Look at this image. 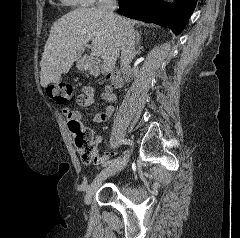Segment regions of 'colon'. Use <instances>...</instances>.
Masks as SVG:
<instances>
[{
    "instance_id": "obj_1",
    "label": "colon",
    "mask_w": 240,
    "mask_h": 238,
    "mask_svg": "<svg viewBox=\"0 0 240 238\" xmlns=\"http://www.w3.org/2000/svg\"><path fill=\"white\" fill-rule=\"evenodd\" d=\"M111 86H117L121 83V78L112 74L109 76ZM73 93V88L67 83L52 84L47 87L48 96L58 104L66 103ZM68 126L74 136L75 144L79 149L82 157L86 161L93 160L92 155L97 144L93 138V132L90 129L84 128L78 120H69Z\"/></svg>"
}]
</instances>
